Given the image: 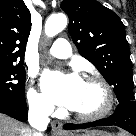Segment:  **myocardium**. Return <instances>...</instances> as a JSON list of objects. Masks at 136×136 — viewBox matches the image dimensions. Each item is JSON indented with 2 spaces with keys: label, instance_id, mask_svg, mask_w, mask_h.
<instances>
[{
  "label": "myocardium",
  "instance_id": "f54148a6",
  "mask_svg": "<svg viewBox=\"0 0 136 136\" xmlns=\"http://www.w3.org/2000/svg\"><path fill=\"white\" fill-rule=\"evenodd\" d=\"M85 82H91L99 85L104 94H105V103L102 109H100L98 112L93 113V114H82L79 112L74 111V115L83 121H97L100 120L104 117H106L111 110L113 109L114 106V94L113 91L110 87V85L100 76L97 75H89L85 78Z\"/></svg>",
  "mask_w": 136,
  "mask_h": 136
}]
</instances>
